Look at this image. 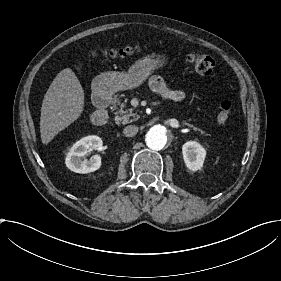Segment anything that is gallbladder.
<instances>
[{
  "label": "gallbladder",
  "instance_id": "gallbladder-1",
  "mask_svg": "<svg viewBox=\"0 0 281 281\" xmlns=\"http://www.w3.org/2000/svg\"><path fill=\"white\" fill-rule=\"evenodd\" d=\"M75 68L78 70L80 67L77 65ZM80 73L83 75L85 72L82 70Z\"/></svg>",
  "mask_w": 281,
  "mask_h": 281
}]
</instances>
